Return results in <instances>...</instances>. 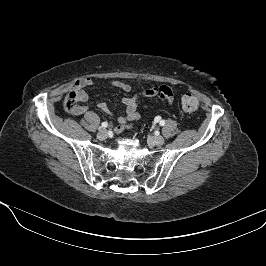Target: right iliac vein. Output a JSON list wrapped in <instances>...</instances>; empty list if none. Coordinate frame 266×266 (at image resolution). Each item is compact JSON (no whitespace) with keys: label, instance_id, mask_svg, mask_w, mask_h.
I'll use <instances>...</instances> for the list:
<instances>
[{"label":"right iliac vein","instance_id":"right-iliac-vein-1","mask_svg":"<svg viewBox=\"0 0 266 266\" xmlns=\"http://www.w3.org/2000/svg\"><path fill=\"white\" fill-rule=\"evenodd\" d=\"M97 137L99 140H105L107 138V131L106 129H100L97 133Z\"/></svg>","mask_w":266,"mask_h":266}]
</instances>
